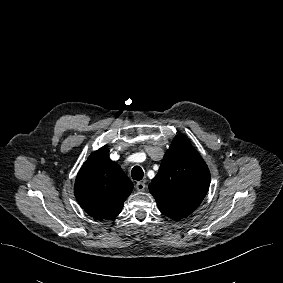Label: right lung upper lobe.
Segmentation results:
<instances>
[{
	"mask_svg": "<svg viewBox=\"0 0 283 283\" xmlns=\"http://www.w3.org/2000/svg\"><path fill=\"white\" fill-rule=\"evenodd\" d=\"M133 183L109 157L107 146L92 153L75 180L74 193L86 212L99 220L115 218L130 195Z\"/></svg>",
	"mask_w": 283,
	"mask_h": 283,
	"instance_id": "obj_1",
	"label": "right lung upper lobe"
}]
</instances>
